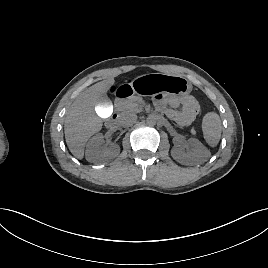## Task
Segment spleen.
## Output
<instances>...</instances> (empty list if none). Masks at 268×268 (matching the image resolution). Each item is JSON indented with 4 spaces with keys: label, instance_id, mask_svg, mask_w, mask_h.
I'll list each match as a JSON object with an SVG mask.
<instances>
[{
    "label": "spleen",
    "instance_id": "3e777b00",
    "mask_svg": "<svg viewBox=\"0 0 268 268\" xmlns=\"http://www.w3.org/2000/svg\"><path fill=\"white\" fill-rule=\"evenodd\" d=\"M202 131L204 139L211 146L215 147L221 137L222 126L221 120L217 113L208 112L202 120Z\"/></svg>",
    "mask_w": 268,
    "mask_h": 268
}]
</instances>
